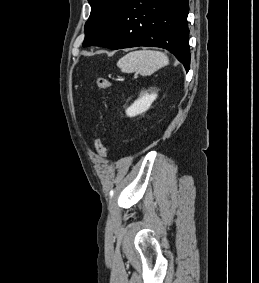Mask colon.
<instances>
[{
  "instance_id": "5ec220e1",
  "label": "colon",
  "mask_w": 259,
  "mask_h": 283,
  "mask_svg": "<svg viewBox=\"0 0 259 283\" xmlns=\"http://www.w3.org/2000/svg\"><path fill=\"white\" fill-rule=\"evenodd\" d=\"M95 83H96V86L99 88V89H103V90H106V89H109L110 86H111V83L110 81L105 78V77H101V76H97L95 78ZM96 150L98 152V154L102 157H106L107 156V153H108V147L105 143V140L104 138L100 137L97 139L96 141Z\"/></svg>"
}]
</instances>
